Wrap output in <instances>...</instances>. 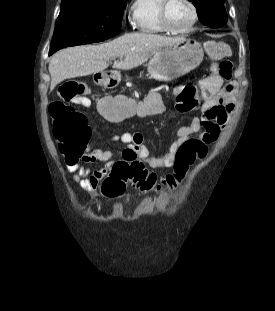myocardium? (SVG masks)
<instances>
[{
  "mask_svg": "<svg viewBox=\"0 0 275 311\" xmlns=\"http://www.w3.org/2000/svg\"><path fill=\"white\" fill-rule=\"evenodd\" d=\"M185 1L189 4L192 10V20L186 27L177 29L171 25L169 18H168V9H169V5L172 2V0H161V4L159 7V19H160L161 25L167 32L172 33V34L186 33L190 31L197 23L198 9L195 3L192 0H185Z\"/></svg>",
  "mask_w": 275,
  "mask_h": 311,
  "instance_id": "f54148a6",
  "label": "myocardium"
}]
</instances>
